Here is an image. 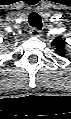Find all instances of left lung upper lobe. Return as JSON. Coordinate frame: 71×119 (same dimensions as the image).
<instances>
[{"instance_id": "5c2ea615", "label": "left lung upper lobe", "mask_w": 71, "mask_h": 119, "mask_svg": "<svg viewBox=\"0 0 71 119\" xmlns=\"http://www.w3.org/2000/svg\"><path fill=\"white\" fill-rule=\"evenodd\" d=\"M52 46L55 47L56 53L60 55H64L66 50H65V40L62 39L61 37H56L55 40L51 43Z\"/></svg>"}]
</instances>
